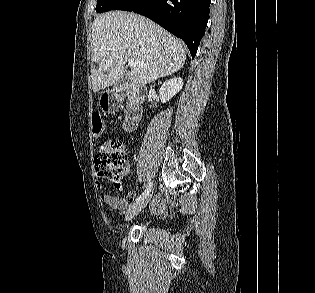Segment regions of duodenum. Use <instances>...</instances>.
I'll list each match as a JSON object with an SVG mask.
<instances>
[{"mask_svg": "<svg viewBox=\"0 0 315 293\" xmlns=\"http://www.w3.org/2000/svg\"><path fill=\"white\" fill-rule=\"evenodd\" d=\"M114 92H119L122 98L128 99L124 128L127 131H132L136 128L142 117V103L146 97L147 91L141 86L123 85L118 87Z\"/></svg>", "mask_w": 315, "mask_h": 293, "instance_id": "410a0bca", "label": "duodenum"}]
</instances>
